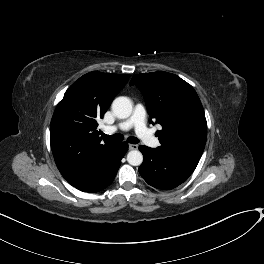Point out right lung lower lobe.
Returning a JSON list of instances; mask_svg holds the SVG:
<instances>
[{
    "label": "right lung lower lobe",
    "mask_w": 264,
    "mask_h": 264,
    "mask_svg": "<svg viewBox=\"0 0 264 264\" xmlns=\"http://www.w3.org/2000/svg\"><path fill=\"white\" fill-rule=\"evenodd\" d=\"M128 149V144L126 142H119L116 146L115 155L109 162L108 166L95 178L84 182L74 187L83 192H99L105 189L114 180L117 171L121 164V159L124 157Z\"/></svg>",
    "instance_id": "obj_1"
}]
</instances>
